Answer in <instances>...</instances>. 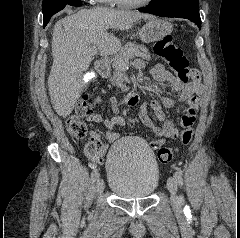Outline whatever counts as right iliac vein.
Masks as SVG:
<instances>
[{"label":"right iliac vein","mask_w":240,"mask_h":238,"mask_svg":"<svg viewBox=\"0 0 240 238\" xmlns=\"http://www.w3.org/2000/svg\"><path fill=\"white\" fill-rule=\"evenodd\" d=\"M105 184L101 178H98L96 181V191L98 194H101L104 190Z\"/></svg>","instance_id":"63e3f726"}]
</instances>
